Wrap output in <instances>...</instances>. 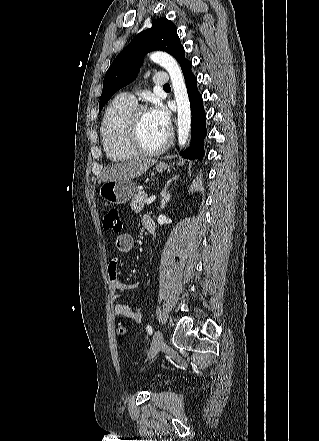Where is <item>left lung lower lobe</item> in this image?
Here are the masks:
<instances>
[{
	"label": "left lung lower lobe",
	"instance_id": "1",
	"mask_svg": "<svg viewBox=\"0 0 319 441\" xmlns=\"http://www.w3.org/2000/svg\"><path fill=\"white\" fill-rule=\"evenodd\" d=\"M192 62L186 61L181 67L187 92L191 105V145L190 147L180 154L184 158L190 160L200 159L204 156L203 142L206 136L205 120L206 113L202 104V95L197 89V78L191 71Z\"/></svg>",
	"mask_w": 319,
	"mask_h": 441
}]
</instances>
